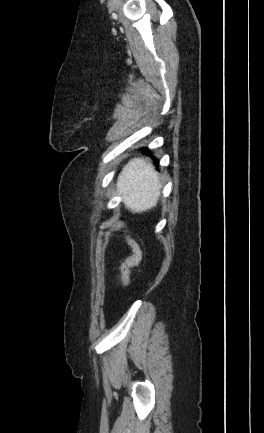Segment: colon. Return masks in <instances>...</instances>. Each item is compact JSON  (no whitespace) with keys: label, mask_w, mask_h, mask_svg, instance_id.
I'll list each match as a JSON object with an SVG mask.
<instances>
[{"label":"colon","mask_w":264,"mask_h":433,"mask_svg":"<svg viewBox=\"0 0 264 433\" xmlns=\"http://www.w3.org/2000/svg\"><path fill=\"white\" fill-rule=\"evenodd\" d=\"M124 240L131 248V254L124 257L120 263L121 281L123 288H127L131 281L132 269L139 265L142 251L139 244L130 236L124 235Z\"/></svg>","instance_id":"1"}]
</instances>
